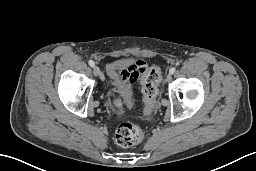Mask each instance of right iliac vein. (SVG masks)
<instances>
[{
  "label": "right iliac vein",
  "instance_id": "63e3f726",
  "mask_svg": "<svg viewBox=\"0 0 256 171\" xmlns=\"http://www.w3.org/2000/svg\"><path fill=\"white\" fill-rule=\"evenodd\" d=\"M93 73H94V75L97 76V77L100 75L101 71H100V69H99L98 66H95V67H94Z\"/></svg>",
  "mask_w": 256,
  "mask_h": 171
}]
</instances>
